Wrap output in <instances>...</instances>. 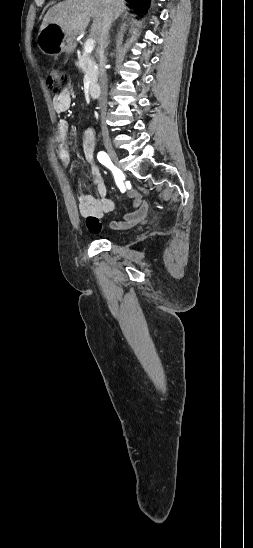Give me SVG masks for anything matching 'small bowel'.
<instances>
[{
  "mask_svg": "<svg viewBox=\"0 0 253 548\" xmlns=\"http://www.w3.org/2000/svg\"><path fill=\"white\" fill-rule=\"evenodd\" d=\"M71 92L65 90L62 93L55 95L53 98V107L56 113L62 114L68 111L71 107ZM69 124L65 119H60L57 127V134L54 138V144L57 148V154L64 166H69L71 157L67 147V135ZM96 145V137L94 130L88 128L83 138V153L86 161L90 165L91 185L93 186L97 197L91 195H81L79 197L78 209L81 216L86 218V225L91 233H98L101 230V219L105 213L111 212L114 209V203L108 196L107 187L104 183L102 173L98 165L94 161V150ZM128 198L132 201V211L126 213L120 220H112L109 222V227L114 230H122L130 228L141 222L148 214V204L144 201L143 196L136 190H129Z\"/></svg>",
  "mask_w": 253,
  "mask_h": 548,
  "instance_id": "small-bowel-1",
  "label": "small bowel"
}]
</instances>
